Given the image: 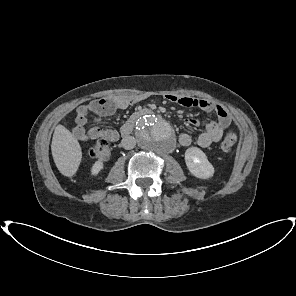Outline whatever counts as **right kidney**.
Segmentation results:
<instances>
[{
	"instance_id": "1",
	"label": "right kidney",
	"mask_w": 296,
	"mask_h": 296,
	"mask_svg": "<svg viewBox=\"0 0 296 296\" xmlns=\"http://www.w3.org/2000/svg\"><path fill=\"white\" fill-rule=\"evenodd\" d=\"M104 168V164L101 160H98L94 163V165L91 168V174L93 176H97L98 173Z\"/></svg>"
}]
</instances>
